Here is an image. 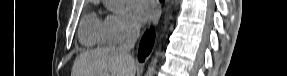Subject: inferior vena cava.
<instances>
[{
    "label": "inferior vena cava",
    "mask_w": 287,
    "mask_h": 76,
    "mask_svg": "<svg viewBox=\"0 0 287 76\" xmlns=\"http://www.w3.org/2000/svg\"><path fill=\"white\" fill-rule=\"evenodd\" d=\"M140 35V25L137 23H132L129 27V31L126 40L120 44L118 50L129 57L132 64H134V58L130 54V51L134 48L135 43Z\"/></svg>",
    "instance_id": "602c4592"
}]
</instances>
